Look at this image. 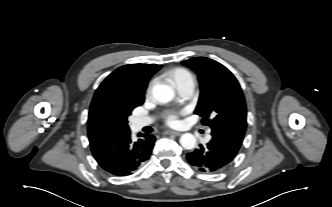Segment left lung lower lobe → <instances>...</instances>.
<instances>
[{
    "mask_svg": "<svg viewBox=\"0 0 332 207\" xmlns=\"http://www.w3.org/2000/svg\"><path fill=\"white\" fill-rule=\"evenodd\" d=\"M212 139L206 145L187 154V161L199 172L210 174L225 169L237 155L244 134L212 129Z\"/></svg>",
    "mask_w": 332,
    "mask_h": 207,
    "instance_id": "1",
    "label": "left lung lower lobe"
}]
</instances>
